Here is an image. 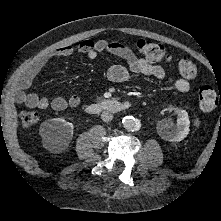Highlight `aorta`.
Listing matches in <instances>:
<instances>
[{
    "mask_svg": "<svg viewBox=\"0 0 221 221\" xmlns=\"http://www.w3.org/2000/svg\"><path fill=\"white\" fill-rule=\"evenodd\" d=\"M122 124L126 130L137 131L141 127L140 120L133 116H125L122 120Z\"/></svg>",
    "mask_w": 221,
    "mask_h": 221,
    "instance_id": "1",
    "label": "aorta"
}]
</instances>
